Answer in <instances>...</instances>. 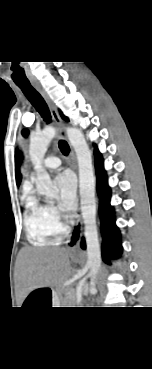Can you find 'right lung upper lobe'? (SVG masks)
I'll list each match as a JSON object with an SVG mask.
<instances>
[{
  "mask_svg": "<svg viewBox=\"0 0 152 369\" xmlns=\"http://www.w3.org/2000/svg\"><path fill=\"white\" fill-rule=\"evenodd\" d=\"M20 181H21V175L18 173L17 168H16V182H17V185L20 184Z\"/></svg>",
  "mask_w": 152,
  "mask_h": 369,
  "instance_id": "1",
  "label": "right lung upper lobe"
}]
</instances>
